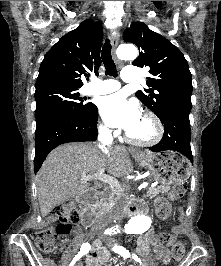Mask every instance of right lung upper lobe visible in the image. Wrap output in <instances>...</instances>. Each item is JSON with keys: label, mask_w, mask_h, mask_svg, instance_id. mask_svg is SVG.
Instances as JSON below:
<instances>
[{"label": "right lung upper lobe", "mask_w": 221, "mask_h": 266, "mask_svg": "<svg viewBox=\"0 0 221 266\" xmlns=\"http://www.w3.org/2000/svg\"><path fill=\"white\" fill-rule=\"evenodd\" d=\"M102 25L84 20L45 54L40 65L36 88L68 86L80 88L82 76L98 75L101 65Z\"/></svg>", "instance_id": "right-lung-upper-lobe-1"}]
</instances>
